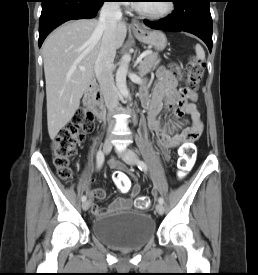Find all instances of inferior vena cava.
I'll list each match as a JSON object with an SVG mask.
<instances>
[{"label":"inferior vena cava","mask_w":258,"mask_h":275,"mask_svg":"<svg viewBox=\"0 0 258 275\" xmlns=\"http://www.w3.org/2000/svg\"><path fill=\"white\" fill-rule=\"evenodd\" d=\"M122 20L120 6L116 2H105L100 11L98 27L103 30V37L94 71L103 94L105 104L111 113L118 106V91L115 87L112 74V65L116 55V29ZM113 122L109 123L108 132H111Z\"/></svg>","instance_id":"obj_1"}]
</instances>
